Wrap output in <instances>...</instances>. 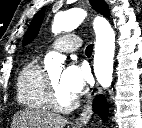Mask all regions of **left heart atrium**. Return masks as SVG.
<instances>
[{"label":"left heart atrium","instance_id":"1","mask_svg":"<svg viewBox=\"0 0 142 128\" xmlns=\"http://www.w3.org/2000/svg\"><path fill=\"white\" fill-rule=\"evenodd\" d=\"M89 82L88 68L77 62L71 63L60 77L61 88L72 97L83 93Z\"/></svg>","mask_w":142,"mask_h":128}]
</instances>
